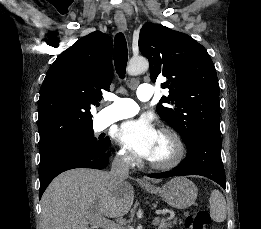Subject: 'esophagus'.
<instances>
[{
	"instance_id": "1",
	"label": "esophagus",
	"mask_w": 261,
	"mask_h": 229,
	"mask_svg": "<svg viewBox=\"0 0 261 229\" xmlns=\"http://www.w3.org/2000/svg\"><path fill=\"white\" fill-rule=\"evenodd\" d=\"M115 23L120 31L127 30V22L124 15H115L114 16Z\"/></svg>"
}]
</instances>
